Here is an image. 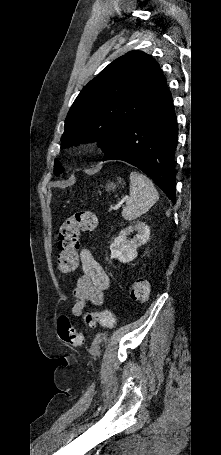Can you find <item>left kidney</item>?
I'll return each instance as SVG.
<instances>
[{
  "label": "left kidney",
  "instance_id": "obj_1",
  "mask_svg": "<svg viewBox=\"0 0 221 455\" xmlns=\"http://www.w3.org/2000/svg\"><path fill=\"white\" fill-rule=\"evenodd\" d=\"M133 231L137 234L128 239L127 236ZM150 236V228L144 222H137L134 226H129L120 231L110 246L111 259H118L122 263L134 260L138 253L137 248L145 244Z\"/></svg>",
  "mask_w": 221,
  "mask_h": 455
}]
</instances>
